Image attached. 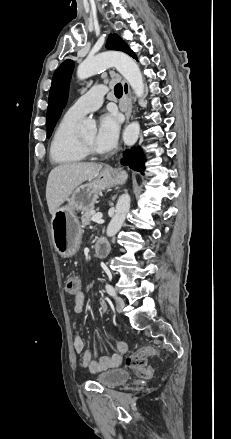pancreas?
I'll use <instances>...</instances> for the list:
<instances>
[{
  "label": "pancreas",
  "mask_w": 231,
  "mask_h": 439,
  "mask_svg": "<svg viewBox=\"0 0 231 439\" xmlns=\"http://www.w3.org/2000/svg\"><path fill=\"white\" fill-rule=\"evenodd\" d=\"M94 214H95V211L93 208H90V209L84 211L82 213V216H81L82 226L85 227V226L89 225L91 223V219H92V216Z\"/></svg>",
  "instance_id": "obj_1"
}]
</instances>
